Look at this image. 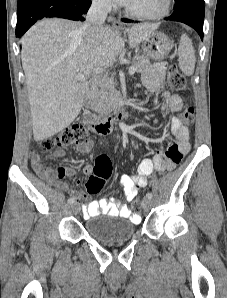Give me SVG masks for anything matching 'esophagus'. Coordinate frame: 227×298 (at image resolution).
Returning a JSON list of instances; mask_svg holds the SVG:
<instances>
[{"mask_svg":"<svg viewBox=\"0 0 227 298\" xmlns=\"http://www.w3.org/2000/svg\"><path fill=\"white\" fill-rule=\"evenodd\" d=\"M113 27L116 29H120L121 28V23L118 20H114L113 21Z\"/></svg>","mask_w":227,"mask_h":298,"instance_id":"obj_1","label":"esophagus"}]
</instances>
